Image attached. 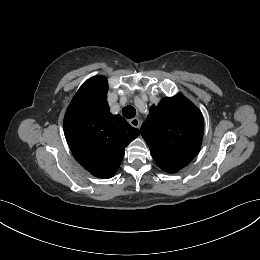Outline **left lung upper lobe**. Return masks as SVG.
I'll return each instance as SVG.
<instances>
[{
	"label": "left lung upper lobe",
	"instance_id": "5c2ea615",
	"mask_svg": "<svg viewBox=\"0 0 260 260\" xmlns=\"http://www.w3.org/2000/svg\"><path fill=\"white\" fill-rule=\"evenodd\" d=\"M204 132L201 111L181 94L164 98L141 127L158 166L167 173H176L198 154Z\"/></svg>",
	"mask_w": 260,
	"mask_h": 260
}]
</instances>
